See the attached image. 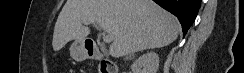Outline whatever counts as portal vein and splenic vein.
<instances>
[{
  "label": "portal vein and splenic vein",
  "instance_id": "18ae733b",
  "mask_svg": "<svg viewBox=\"0 0 244 73\" xmlns=\"http://www.w3.org/2000/svg\"><path fill=\"white\" fill-rule=\"evenodd\" d=\"M84 24L88 25V24H90V22L84 21ZM102 36H103V41L105 43H110L113 41V36L111 34H107V32L105 30H103Z\"/></svg>",
  "mask_w": 244,
  "mask_h": 73
}]
</instances>
